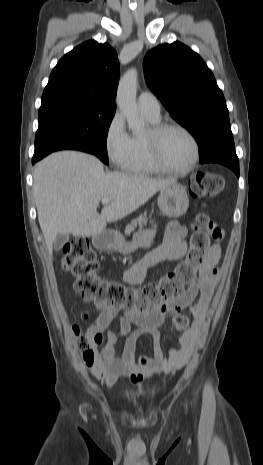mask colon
<instances>
[{"instance_id": "1", "label": "colon", "mask_w": 263, "mask_h": 465, "mask_svg": "<svg viewBox=\"0 0 263 465\" xmlns=\"http://www.w3.org/2000/svg\"><path fill=\"white\" fill-rule=\"evenodd\" d=\"M223 186L222 176L200 172L190 179L189 192L194 198L207 199L218 194ZM216 229L207 215L200 214L184 260L159 281L147 283L140 288L128 287L98 276L99 262L96 253L85 238H75L64 246L61 267L73 274L74 288L86 299L115 308L144 312L184 293L195 283L210 248V237ZM173 324L178 330L184 331L188 328L189 320L185 315L179 314L173 319ZM73 333L84 362L92 367L98 358L97 349L102 343V333L94 325L84 329L74 326Z\"/></svg>"}]
</instances>
